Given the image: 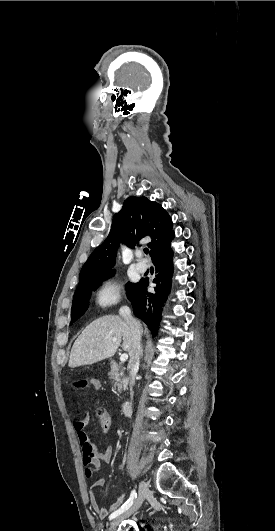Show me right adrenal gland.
Masks as SVG:
<instances>
[{
    "instance_id": "obj_1",
    "label": "right adrenal gland",
    "mask_w": 275,
    "mask_h": 531,
    "mask_svg": "<svg viewBox=\"0 0 275 531\" xmlns=\"http://www.w3.org/2000/svg\"><path fill=\"white\" fill-rule=\"evenodd\" d=\"M141 357H143V349H142V347H141V351H140V359H141Z\"/></svg>"
}]
</instances>
